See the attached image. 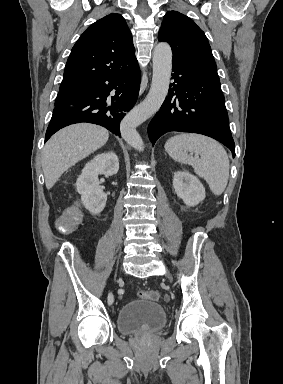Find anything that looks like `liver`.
Here are the masks:
<instances>
[{"label": "liver", "instance_id": "liver-1", "mask_svg": "<svg viewBox=\"0 0 283 384\" xmlns=\"http://www.w3.org/2000/svg\"><path fill=\"white\" fill-rule=\"evenodd\" d=\"M108 138V130L94 124H74L54 134L42 154L47 190L53 188L66 170L105 146Z\"/></svg>", "mask_w": 283, "mask_h": 384}]
</instances>
